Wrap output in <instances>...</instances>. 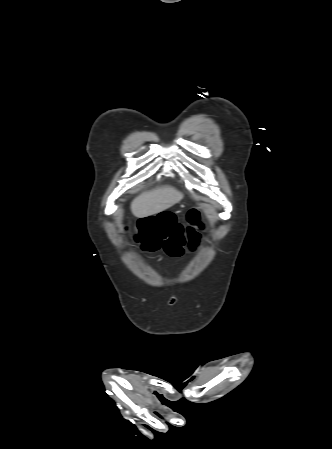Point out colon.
<instances>
[{"label":"colon","instance_id":"colon-1","mask_svg":"<svg viewBox=\"0 0 332 449\" xmlns=\"http://www.w3.org/2000/svg\"><path fill=\"white\" fill-rule=\"evenodd\" d=\"M202 229L200 214L196 208L188 211L186 225L177 222L172 213L162 212L140 219L135 238L144 251L164 250L171 257H179L198 246L199 231Z\"/></svg>","mask_w":332,"mask_h":449}]
</instances>
